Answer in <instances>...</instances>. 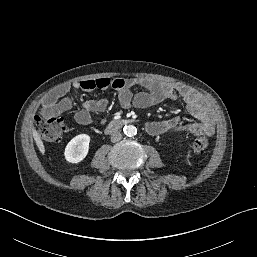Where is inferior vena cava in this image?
<instances>
[{"instance_id":"obj_1","label":"inferior vena cava","mask_w":257,"mask_h":257,"mask_svg":"<svg viewBox=\"0 0 257 257\" xmlns=\"http://www.w3.org/2000/svg\"><path fill=\"white\" fill-rule=\"evenodd\" d=\"M121 138H122V135L119 131H114L111 134V142L113 143L118 142L119 140H121Z\"/></svg>"}]
</instances>
